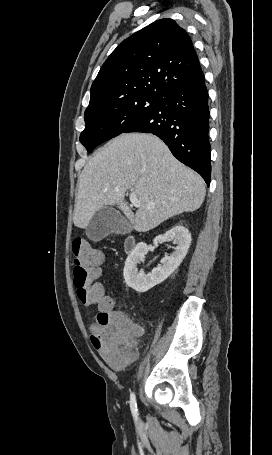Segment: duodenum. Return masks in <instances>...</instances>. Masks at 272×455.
Instances as JSON below:
<instances>
[{"label": "duodenum", "mask_w": 272, "mask_h": 455, "mask_svg": "<svg viewBox=\"0 0 272 455\" xmlns=\"http://www.w3.org/2000/svg\"><path fill=\"white\" fill-rule=\"evenodd\" d=\"M136 246V239L133 236H129L126 238L124 242V249L127 253H131Z\"/></svg>", "instance_id": "1"}]
</instances>
